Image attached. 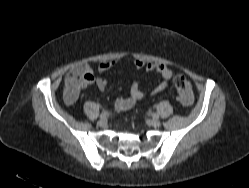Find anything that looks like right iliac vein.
I'll return each instance as SVG.
<instances>
[{"label": "right iliac vein", "mask_w": 249, "mask_h": 188, "mask_svg": "<svg viewBox=\"0 0 249 188\" xmlns=\"http://www.w3.org/2000/svg\"><path fill=\"white\" fill-rule=\"evenodd\" d=\"M97 123H98V125L100 127H104V126L107 125V120L105 118L104 119H100Z\"/></svg>", "instance_id": "obj_1"}]
</instances>
